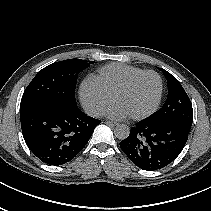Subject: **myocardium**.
<instances>
[{"mask_svg": "<svg viewBox=\"0 0 211 211\" xmlns=\"http://www.w3.org/2000/svg\"><path fill=\"white\" fill-rule=\"evenodd\" d=\"M147 74H152V75L157 77L158 82H159L158 96H157L156 102L154 103V105L148 111L141 113V114H138V115L130 116L131 119H133V120H142V119L148 118L149 116L154 114L157 111V109L159 108L161 101H162V97H163V91H164V83H163V79H162L161 75L154 70H144V71L132 76L131 78H129L120 87H118L114 91V93L112 94V99L114 101L115 98L119 94L127 91L138 79H140L141 77H143Z\"/></svg>", "mask_w": 211, "mask_h": 211, "instance_id": "myocardium-1", "label": "myocardium"}]
</instances>
